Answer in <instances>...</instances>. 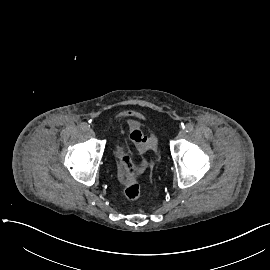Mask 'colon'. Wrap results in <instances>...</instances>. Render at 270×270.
I'll use <instances>...</instances> for the list:
<instances>
[{
    "instance_id": "5ec220e1",
    "label": "colon",
    "mask_w": 270,
    "mask_h": 270,
    "mask_svg": "<svg viewBox=\"0 0 270 270\" xmlns=\"http://www.w3.org/2000/svg\"><path fill=\"white\" fill-rule=\"evenodd\" d=\"M129 138L141 152L153 150L158 143L155 135L146 134L141 127L135 124L129 130ZM118 161L120 164L118 176L123 187V196L128 201H137L141 197L142 191L131 156L123 151L119 155Z\"/></svg>"
}]
</instances>
